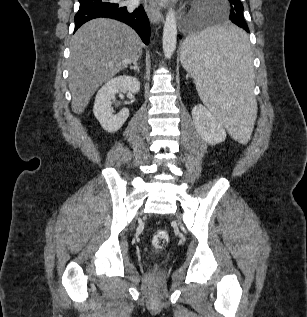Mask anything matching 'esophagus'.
I'll list each match as a JSON object with an SVG mask.
<instances>
[{"mask_svg":"<svg viewBox=\"0 0 307 317\" xmlns=\"http://www.w3.org/2000/svg\"><path fill=\"white\" fill-rule=\"evenodd\" d=\"M145 10L152 23H158L162 19V11L159 0H144Z\"/></svg>","mask_w":307,"mask_h":317,"instance_id":"1","label":"esophagus"}]
</instances>
